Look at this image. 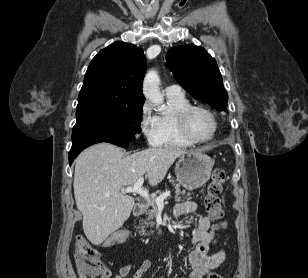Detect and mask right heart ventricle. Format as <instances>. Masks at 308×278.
Wrapping results in <instances>:
<instances>
[{
    "label": "right heart ventricle",
    "mask_w": 308,
    "mask_h": 278,
    "mask_svg": "<svg viewBox=\"0 0 308 278\" xmlns=\"http://www.w3.org/2000/svg\"><path fill=\"white\" fill-rule=\"evenodd\" d=\"M167 102L171 110L169 113H163L157 116L159 144L158 146L166 148H186L193 144L186 140L179 132L175 123V113L189 104L187 98L183 96L169 97Z\"/></svg>",
    "instance_id": "1"
}]
</instances>
